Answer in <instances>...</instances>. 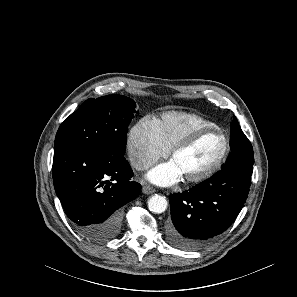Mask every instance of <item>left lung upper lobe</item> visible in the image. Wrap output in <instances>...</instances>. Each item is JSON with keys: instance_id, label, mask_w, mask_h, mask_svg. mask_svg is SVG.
Listing matches in <instances>:
<instances>
[{"instance_id": "left-lung-upper-lobe-1", "label": "left lung upper lobe", "mask_w": 297, "mask_h": 297, "mask_svg": "<svg viewBox=\"0 0 297 297\" xmlns=\"http://www.w3.org/2000/svg\"><path fill=\"white\" fill-rule=\"evenodd\" d=\"M230 147L231 152L229 153L226 163L222 165V169H245L253 167L254 156L252 145L241 130L235 116L231 123Z\"/></svg>"}]
</instances>
